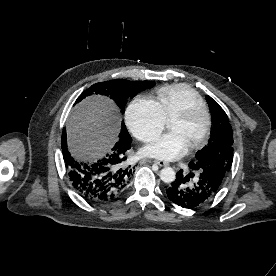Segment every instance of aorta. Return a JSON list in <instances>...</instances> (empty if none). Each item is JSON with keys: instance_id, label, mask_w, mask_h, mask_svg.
<instances>
[{"instance_id": "obj_1", "label": "aorta", "mask_w": 276, "mask_h": 276, "mask_svg": "<svg viewBox=\"0 0 276 276\" xmlns=\"http://www.w3.org/2000/svg\"><path fill=\"white\" fill-rule=\"evenodd\" d=\"M160 179L164 183H171L175 180L176 178V173L173 168L171 167H165L160 171Z\"/></svg>"}]
</instances>
